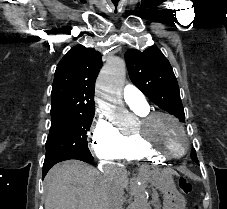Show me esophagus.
I'll use <instances>...</instances> for the list:
<instances>
[{
  "label": "esophagus",
  "mask_w": 227,
  "mask_h": 209,
  "mask_svg": "<svg viewBox=\"0 0 227 209\" xmlns=\"http://www.w3.org/2000/svg\"><path fill=\"white\" fill-rule=\"evenodd\" d=\"M150 173V167L149 166H142L139 170L138 176L139 177H147Z\"/></svg>",
  "instance_id": "34e87169"
}]
</instances>
